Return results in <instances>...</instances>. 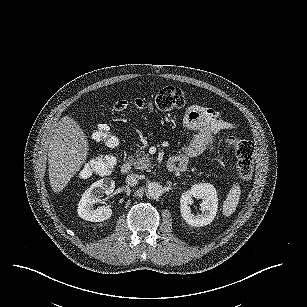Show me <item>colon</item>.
I'll return each mask as SVG.
<instances>
[{
    "label": "colon",
    "mask_w": 307,
    "mask_h": 307,
    "mask_svg": "<svg viewBox=\"0 0 307 307\" xmlns=\"http://www.w3.org/2000/svg\"><path fill=\"white\" fill-rule=\"evenodd\" d=\"M184 92L175 86H167L160 89L153 101L143 98L133 100H118L114 107L118 111L129 107L136 109L157 108L168 111L181 108L185 105ZM92 138L98 143H102L110 148L118 146L119 138L112 129L101 124L93 132ZM225 144L234 149L237 158V171L241 180L248 181L253 173L254 147L250 141L241 140L230 136L225 139ZM116 166V157L113 155H99L85 162L80 170L82 177H89L93 174L104 175L112 171Z\"/></svg>",
    "instance_id": "1"
}]
</instances>
